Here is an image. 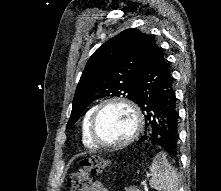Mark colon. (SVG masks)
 Listing matches in <instances>:
<instances>
[{
    "instance_id": "colon-1",
    "label": "colon",
    "mask_w": 221,
    "mask_h": 191,
    "mask_svg": "<svg viewBox=\"0 0 221 191\" xmlns=\"http://www.w3.org/2000/svg\"><path fill=\"white\" fill-rule=\"evenodd\" d=\"M108 162L100 157L83 159L80 168L69 179V191H89L91 176L101 173Z\"/></svg>"
}]
</instances>
